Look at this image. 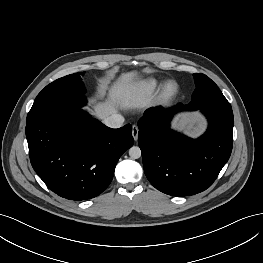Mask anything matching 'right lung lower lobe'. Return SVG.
Instances as JSON below:
<instances>
[{
	"label": "right lung lower lobe",
	"instance_id": "right-lung-lower-lobe-1",
	"mask_svg": "<svg viewBox=\"0 0 263 263\" xmlns=\"http://www.w3.org/2000/svg\"><path fill=\"white\" fill-rule=\"evenodd\" d=\"M56 107L26 124L30 161L59 196L86 200L110 184L117 161L133 145L132 126L111 129L81 107Z\"/></svg>",
	"mask_w": 263,
	"mask_h": 263
}]
</instances>
